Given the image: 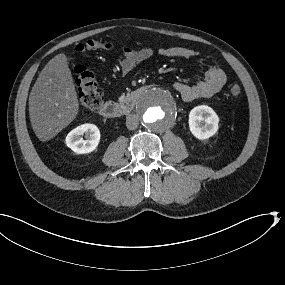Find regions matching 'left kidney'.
I'll return each instance as SVG.
<instances>
[{
  "mask_svg": "<svg viewBox=\"0 0 285 285\" xmlns=\"http://www.w3.org/2000/svg\"><path fill=\"white\" fill-rule=\"evenodd\" d=\"M219 121L218 115L211 107L199 105L190 111L188 126L196 139L206 141L217 134Z\"/></svg>",
  "mask_w": 285,
  "mask_h": 285,
  "instance_id": "5707ae66",
  "label": "left kidney"
}]
</instances>
